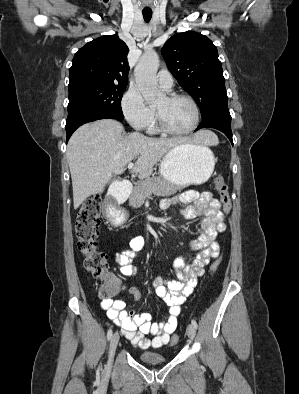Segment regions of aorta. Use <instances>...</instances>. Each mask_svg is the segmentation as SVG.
<instances>
[{
	"label": "aorta",
	"mask_w": 299,
	"mask_h": 394,
	"mask_svg": "<svg viewBox=\"0 0 299 394\" xmlns=\"http://www.w3.org/2000/svg\"><path fill=\"white\" fill-rule=\"evenodd\" d=\"M159 57L156 52L144 53L135 67V80L138 89L148 103L155 102L162 96L157 87L156 73Z\"/></svg>",
	"instance_id": "762f6f07"
}]
</instances>
